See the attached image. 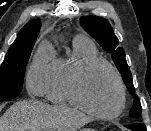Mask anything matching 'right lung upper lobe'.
Wrapping results in <instances>:
<instances>
[{"instance_id": "obj_1", "label": "right lung upper lobe", "mask_w": 151, "mask_h": 131, "mask_svg": "<svg viewBox=\"0 0 151 131\" xmlns=\"http://www.w3.org/2000/svg\"><path fill=\"white\" fill-rule=\"evenodd\" d=\"M41 28L40 19L28 22L18 33V36L9 49L20 48L34 44Z\"/></svg>"}]
</instances>
